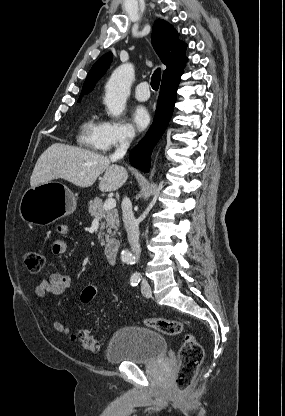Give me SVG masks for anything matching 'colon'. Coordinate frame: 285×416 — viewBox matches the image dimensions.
Listing matches in <instances>:
<instances>
[{"instance_id":"5ec220e1","label":"colon","mask_w":285,"mask_h":416,"mask_svg":"<svg viewBox=\"0 0 285 416\" xmlns=\"http://www.w3.org/2000/svg\"><path fill=\"white\" fill-rule=\"evenodd\" d=\"M24 263L30 274L37 275L42 271L45 259L37 251H27L24 254ZM96 295L97 287L95 285L87 286L81 293V303L89 305ZM143 324L170 336L179 335L184 331V324L178 320L148 318L143 320ZM73 339L82 349L93 353L99 352L103 343L101 337L93 335L89 330L79 331L73 335ZM178 359L179 367L174 379L173 390L177 403L184 405L188 399L187 391L204 359L203 347L193 333L188 332L185 334Z\"/></svg>"}]
</instances>
